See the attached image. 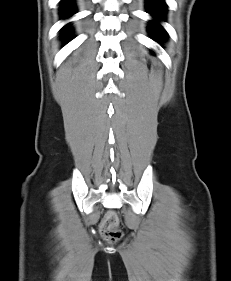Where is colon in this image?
I'll return each mask as SVG.
<instances>
[{
	"instance_id": "colon-1",
	"label": "colon",
	"mask_w": 231,
	"mask_h": 281,
	"mask_svg": "<svg viewBox=\"0 0 231 281\" xmlns=\"http://www.w3.org/2000/svg\"><path fill=\"white\" fill-rule=\"evenodd\" d=\"M118 218L116 214L109 213L101 224V231L103 235L109 240H115L120 236L117 230Z\"/></svg>"
}]
</instances>
